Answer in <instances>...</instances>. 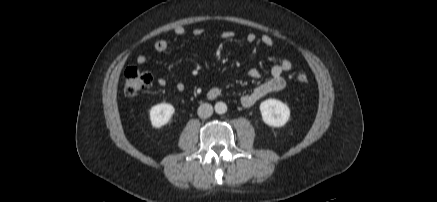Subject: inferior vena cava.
Instances as JSON below:
<instances>
[{"label":"inferior vena cava","instance_id":"obj_1","mask_svg":"<svg viewBox=\"0 0 437 202\" xmlns=\"http://www.w3.org/2000/svg\"><path fill=\"white\" fill-rule=\"evenodd\" d=\"M198 116L200 118H208L212 115L213 113V107L211 104L208 103H203L199 106L198 108Z\"/></svg>","mask_w":437,"mask_h":202}]
</instances>
